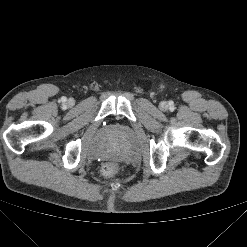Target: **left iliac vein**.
<instances>
[{"mask_svg": "<svg viewBox=\"0 0 247 247\" xmlns=\"http://www.w3.org/2000/svg\"><path fill=\"white\" fill-rule=\"evenodd\" d=\"M160 109L163 111H166L168 109V104L167 102L163 101L160 103Z\"/></svg>", "mask_w": 247, "mask_h": 247, "instance_id": "1", "label": "left iliac vein"}]
</instances>
